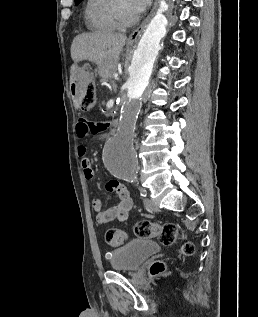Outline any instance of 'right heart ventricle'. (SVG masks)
I'll list each match as a JSON object with an SVG mask.
<instances>
[{
  "label": "right heart ventricle",
  "instance_id": "right-heart-ventricle-1",
  "mask_svg": "<svg viewBox=\"0 0 258 317\" xmlns=\"http://www.w3.org/2000/svg\"><path fill=\"white\" fill-rule=\"evenodd\" d=\"M119 0H88L84 16L88 26L100 33H110L117 29L113 20V10Z\"/></svg>",
  "mask_w": 258,
  "mask_h": 317
}]
</instances>
